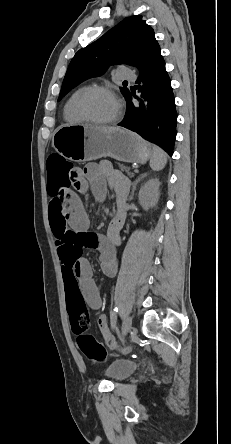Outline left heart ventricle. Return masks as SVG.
I'll list each match as a JSON object with an SVG mask.
<instances>
[{"label": "left heart ventricle", "instance_id": "b2bd125f", "mask_svg": "<svg viewBox=\"0 0 231 444\" xmlns=\"http://www.w3.org/2000/svg\"><path fill=\"white\" fill-rule=\"evenodd\" d=\"M85 108L93 119L105 121L117 113L118 105L112 95L104 92H95L86 100Z\"/></svg>", "mask_w": 231, "mask_h": 444}]
</instances>
